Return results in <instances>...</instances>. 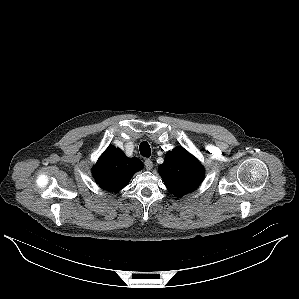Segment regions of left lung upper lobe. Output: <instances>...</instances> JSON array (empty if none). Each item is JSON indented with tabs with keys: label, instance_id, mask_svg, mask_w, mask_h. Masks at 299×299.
<instances>
[{
	"label": "left lung upper lobe",
	"instance_id": "left-lung-upper-lobe-1",
	"mask_svg": "<svg viewBox=\"0 0 299 299\" xmlns=\"http://www.w3.org/2000/svg\"><path fill=\"white\" fill-rule=\"evenodd\" d=\"M159 173L169 192L177 197L197 189L205 174L200 162L180 147L166 153Z\"/></svg>",
	"mask_w": 299,
	"mask_h": 299
}]
</instances>
